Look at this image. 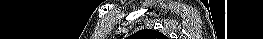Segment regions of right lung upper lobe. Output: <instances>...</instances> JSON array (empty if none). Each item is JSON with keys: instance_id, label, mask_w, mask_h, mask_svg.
Wrapping results in <instances>:
<instances>
[{"instance_id": "cb5924a9", "label": "right lung upper lobe", "mask_w": 263, "mask_h": 39, "mask_svg": "<svg viewBox=\"0 0 263 39\" xmlns=\"http://www.w3.org/2000/svg\"><path fill=\"white\" fill-rule=\"evenodd\" d=\"M145 31V34L149 35V36H154V37H162L163 34L157 32V31H154V30H143L142 32Z\"/></svg>"}]
</instances>
